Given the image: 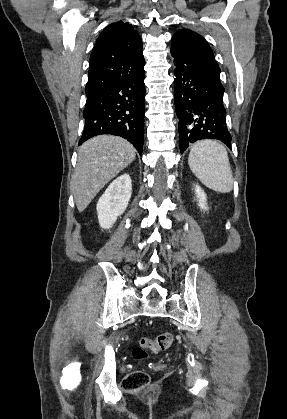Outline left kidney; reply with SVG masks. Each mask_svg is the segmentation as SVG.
Instances as JSON below:
<instances>
[{
    "label": "left kidney",
    "instance_id": "obj_1",
    "mask_svg": "<svg viewBox=\"0 0 287 419\" xmlns=\"http://www.w3.org/2000/svg\"><path fill=\"white\" fill-rule=\"evenodd\" d=\"M194 190H195L196 198L198 200V206L200 207V209L204 211L208 210L205 192L202 190V188L199 185H195Z\"/></svg>",
    "mask_w": 287,
    "mask_h": 419
}]
</instances>
